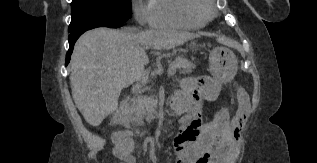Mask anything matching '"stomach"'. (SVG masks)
Listing matches in <instances>:
<instances>
[{
    "label": "stomach",
    "mask_w": 317,
    "mask_h": 163,
    "mask_svg": "<svg viewBox=\"0 0 317 163\" xmlns=\"http://www.w3.org/2000/svg\"><path fill=\"white\" fill-rule=\"evenodd\" d=\"M238 61L235 54L228 48L216 47L209 54L211 74L219 81H228L237 71Z\"/></svg>",
    "instance_id": "1"
}]
</instances>
